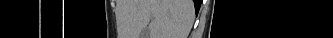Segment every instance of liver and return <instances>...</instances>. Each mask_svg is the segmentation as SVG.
<instances>
[{"label": "liver", "instance_id": "obj_1", "mask_svg": "<svg viewBox=\"0 0 333 38\" xmlns=\"http://www.w3.org/2000/svg\"><path fill=\"white\" fill-rule=\"evenodd\" d=\"M137 34L149 28V38H187L193 21L192 0H138Z\"/></svg>", "mask_w": 333, "mask_h": 38}]
</instances>
